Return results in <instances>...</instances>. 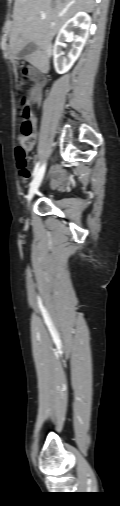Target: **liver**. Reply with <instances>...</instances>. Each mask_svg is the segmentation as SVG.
<instances>
[{
	"label": "liver",
	"instance_id": "liver-1",
	"mask_svg": "<svg viewBox=\"0 0 120 506\" xmlns=\"http://www.w3.org/2000/svg\"><path fill=\"white\" fill-rule=\"evenodd\" d=\"M95 0H15L10 49L18 55L30 42L37 50L26 59L47 71L48 60L44 50L66 21L78 12H92ZM46 17L42 18L41 14Z\"/></svg>",
	"mask_w": 120,
	"mask_h": 506
}]
</instances>
